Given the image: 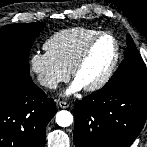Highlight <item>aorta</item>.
Wrapping results in <instances>:
<instances>
[{
    "label": "aorta",
    "mask_w": 147,
    "mask_h": 147,
    "mask_svg": "<svg viewBox=\"0 0 147 147\" xmlns=\"http://www.w3.org/2000/svg\"><path fill=\"white\" fill-rule=\"evenodd\" d=\"M56 123L61 127H68L73 123V115L66 110H61L56 114Z\"/></svg>",
    "instance_id": "1"
}]
</instances>
